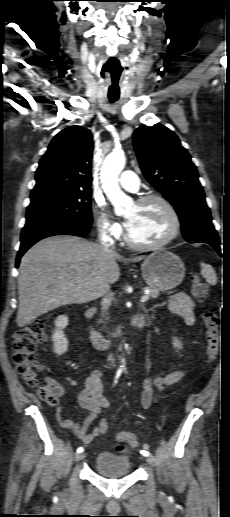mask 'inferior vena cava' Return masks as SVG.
<instances>
[{"mask_svg":"<svg viewBox=\"0 0 230 517\" xmlns=\"http://www.w3.org/2000/svg\"><path fill=\"white\" fill-rule=\"evenodd\" d=\"M99 242L105 251L114 249V240L110 236L107 235L106 231L99 233Z\"/></svg>","mask_w":230,"mask_h":517,"instance_id":"1","label":"inferior vena cava"}]
</instances>
